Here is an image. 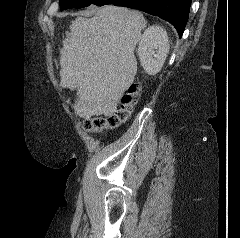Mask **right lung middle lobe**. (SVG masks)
I'll return each mask as SVG.
<instances>
[{"label":"right lung middle lobe","mask_w":240,"mask_h":238,"mask_svg":"<svg viewBox=\"0 0 240 238\" xmlns=\"http://www.w3.org/2000/svg\"><path fill=\"white\" fill-rule=\"evenodd\" d=\"M111 0H59L61 10L68 8H81L91 4L103 6Z\"/></svg>","instance_id":"1"}]
</instances>
